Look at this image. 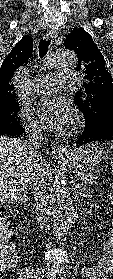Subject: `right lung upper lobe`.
<instances>
[{"label":"right lung upper lobe","mask_w":113,"mask_h":279,"mask_svg":"<svg viewBox=\"0 0 113 279\" xmlns=\"http://www.w3.org/2000/svg\"><path fill=\"white\" fill-rule=\"evenodd\" d=\"M33 52V38L24 36L11 50L0 68V108L17 102L12 78L16 69L28 61Z\"/></svg>","instance_id":"cb5924a9"}]
</instances>
